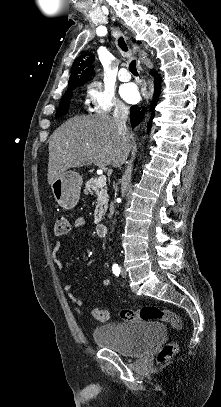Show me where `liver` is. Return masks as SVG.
Returning a JSON list of instances; mask_svg holds the SVG:
<instances>
[{
    "label": "liver",
    "instance_id": "liver-1",
    "mask_svg": "<svg viewBox=\"0 0 221 407\" xmlns=\"http://www.w3.org/2000/svg\"><path fill=\"white\" fill-rule=\"evenodd\" d=\"M133 136L123 139L113 118L106 114L77 116L67 120L49 139L48 184L70 168L94 164H123L132 148Z\"/></svg>",
    "mask_w": 221,
    "mask_h": 407
}]
</instances>
